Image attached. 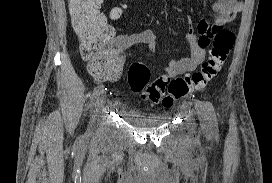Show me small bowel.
I'll return each mask as SVG.
<instances>
[{
  "instance_id": "1",
  "label": "small bowel",
  "mask_w": 272,
  "mask_h": 183,
  "mask_svg": "<svg viewBox=\"0 0 272 183\" xmlns=\"http://www.w3.org/2000/svg\"><path fill=\"white\" fill-rule=\"evenodd\" d=\"M244 8V2L239 0H217L213 4V10L216 17L212 24L201 21L198 25L197 34L194 29H190L186 34V40L190 46V55L179 60L169 61L166 66V73L169 77H176L187 72L195 70L205 59L207 52V44L209 39H213L218 34L219 28L233 21L236 15ZM112 36L110 45L119 56V64L111 68L104 77L95 76L99 81L115 80L122 68V53L136 44H145L154 52L157 48L156 34L151 29H145L134 34L116 35L114 29L108 25Z\"/></svg>"
}]
</instances>
